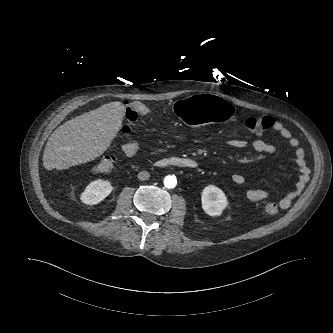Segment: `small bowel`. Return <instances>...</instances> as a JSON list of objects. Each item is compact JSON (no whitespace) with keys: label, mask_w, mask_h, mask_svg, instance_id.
<instances>
[{"label":"small bowel","mask_w":333,"mask_h":333,"mask_svg":"<svg viewBox=\"0 0 333 333\" xmlns=\"http://www.w3.org/2000/svg\"><path fill=\"white\" fill-rule=\"evenodd\" d=\"M273 120V119H272ZM272 130L279 133L288 143V145L294 150L295 160L299 170V177L295 187L287 192L279 201L281 208H288L293 200L302 192L308 176V167L305 161V153L300 146L299 140L293 136L289 129L278 120H273L271 127ZM227 146L237 150H252L258 153H273L275 151V145L266 142L262 139L244 140V139H231L226 142ZM139 148L136 142H129L125 145L124 150L128 155H134ZM233 183L242 185L245 183V177L240 173H234L231 176ZM247 199L250 201H261L269 197V193L266 190L261 189H248L245 192Z\"/></svg>","instance_id":"1"}]
</instances>
